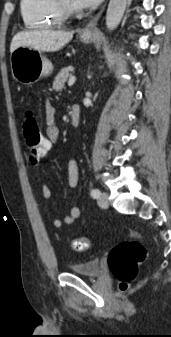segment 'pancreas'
Here are the masks:
<instances>
[{
    "mask_svg": "<svg viewBox=\"0 0 171 337\" xmlns=\"http://www.w3.org/2000/svg\"><path fill=\"white\" fill-rule=\"evenodd\" d=\"M69 67L63 68L58 75L55 78V81L53 82V90L54 91H61L65 87V82L67 81V78L69 77Z\"/></svg>",
    "mask_w": 171,
    "mask_h": 337,
    "instance_id": "1",
    "label": "pancreas"
}]
</instances>
